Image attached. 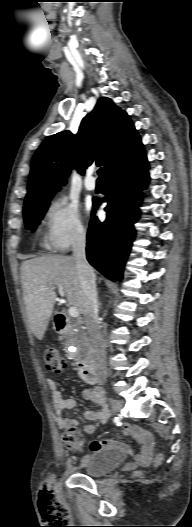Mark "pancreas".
I'll return each mask as SVG.
<instances>
[{
    "mask_svg": "<svg viewBox=\"0 0 192 527\" xmlns=\"http://www.w3.org/2000/svg\"><path fill=\"white\" fill-rule=\"evenodd\" d=\"M84 340L83 334L81 332H72L70 334V341L74 344H80Z\"/></svg>",
    "mask_w": 192,
    "mask_h": 527,
    "instance_id": "obj_1",
    "label": "pancreas"
}]
</instances>
